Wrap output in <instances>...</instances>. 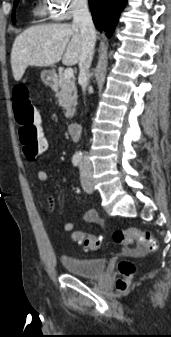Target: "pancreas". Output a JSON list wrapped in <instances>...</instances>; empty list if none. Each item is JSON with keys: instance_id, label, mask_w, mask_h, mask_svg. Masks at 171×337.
<instances>
[{"instance_id": "pancreas-1", "label": "pancreas", "mask_w": 171, "mask_h": 337, "mask_svg": "<svg viewBox=\"0 0 171 337\" xmlns=\"http://www.w3.org/2000/svg\"><path fill=\"white\" fill-rule=\"evenodd\" d=\"M55 92L59 105L62 106L66 111V118H72L77 104V90L75 82L73 80L64 78L62 75L59 79Z\"/></svg>"}]
</instances>
